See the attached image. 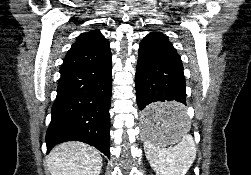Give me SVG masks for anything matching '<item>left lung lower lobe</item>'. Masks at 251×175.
<instances>
[{"mask_svg":"<svg viewBox=\"0 0 251 175\" xmlns=\"http://www.w3.org/2000/svg\"><path fill=\"white\" fill-rule=\"evenodd\" d=\"M135 88L139 119L146 125L182 120L186 109V83L182 61L168 37L149 33L140 43ZM182 104H161V102Z\"/></svg>","mask_w":251,"mask_h":175,"instance_id":"left-lung-lower-lobe-1","label":"left lung lower lobe"}]
</instances>
